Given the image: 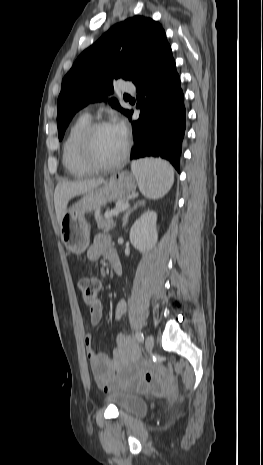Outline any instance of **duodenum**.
<instances>
[{
	"instance_id": "obj_1",
	"label": "duodenum",
	"mask_w": 263,
	"mask_h": 465,
	"mask_svg": "<svg viewBox=\"0 0 263 465\" xmlns=\"http://www.w3.org/2000/svg\"><path fill=\"white\" fill-rule=\"evenodd\" d=\"M109 261L114 272L117 275H120L122 273V265L116 252L110 255Z\"/></svg>"
}]
</instances>
